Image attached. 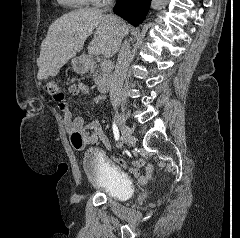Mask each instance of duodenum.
Here are the masks:
<instances>
[{"instance_id": "1", "label": "duodenum", "mask_w": 240, "mask_h": 238, "mask_svg": "<svg viewBox=\"0 0 240 238\" xmlns=\"http://www.w3.org/2000/svg\"><path fill=\"white\" fill-rule=\"evenodd\" d=\"M112 83V76L110 74H103L100 77L99 90L101 93L108 92Z\"/></svg>"}]
</instances>
